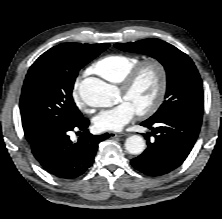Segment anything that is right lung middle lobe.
Listing matches in <instances>:
<instances>
[{"label": "right lung middle lobe", "mask_w": 222, "mask_h": 219, "mask_svg": "<svg viewBox=\"0 0 222 219\" xmlns=\"http://www.w3.org/2000/svg\"><path fill=\"white\" fill-rule=\"evenodd\" d=\"M108 47L62 43L33 63L20 98L22 126L31 144L82 117L72 98L74 81L79 70Z\"/></svg>", "instance_id": "obj_1"}]
</instances>
